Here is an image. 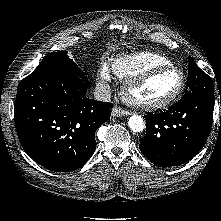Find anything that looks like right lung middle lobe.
Returning a JSON list of instances; mask_svg holds the SVG:
<instances>
[{
    "label": "right lung middle lobe",
    "mask_w": 221,
    "mask_h": 221,
    "mask_svg": "<svg viewBox=\"0 0 221 221\" xmlns=\"http://www.w3.org/2000/svg\"><path fill=\"white\" fill-rule=\"evenodd\" d=\"M47 73H70L88 81L76 63L68 57L67 51H59L47 55L26 78H33Z\"/></svg>",
    "instance_id": "dd1d6c3e"
}]
</instances>
